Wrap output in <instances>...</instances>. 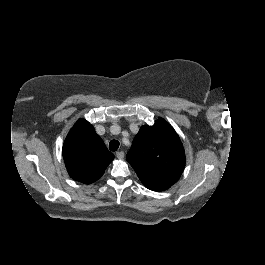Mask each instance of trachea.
<instances>
[{
  "label": "trachea",
  "mask_w": 265,
  "mask_h": 265,
  "mask_svg": "<svg viewBox=\"0 0 265 265\" xmlns=\"http://www.w3.org/2000/svg\"><path fill=\"white\" fill-rule=\"evenodd\" d=\"M119 141H117V140H112V141H110V143H109V149L111 150V151H116L117 149H118V147H119Z\"/></svg>",
  "instance_id": "obj_1"
}]
</instances>
